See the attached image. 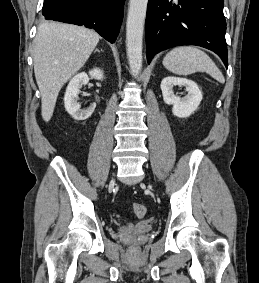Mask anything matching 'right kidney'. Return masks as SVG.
Returning a JSON list of instances; mask_svg holds the SVG:
<instances>
[{"mask_svg":"<svg viewBox=\"0 0 259 283\" xmlns=\"http://www.w3.org/2000/svg\"><path fill=\"white\" fill-rule=\"evenodd\" d=\"M89 76L96 80L104 79V73L99 68H94L89 71ZM89 76L85 72L75 75L70 80L64 96L66 111L73 117V119L78 121L88 119L92 115L96 107V104L94 103L89 108L81 110L79 103H77L80 88L89 82Z\"/></svg>","mask_w":259,"mask_h":283,"instance_id":"1","label":"right kidney"}]
</instances>
